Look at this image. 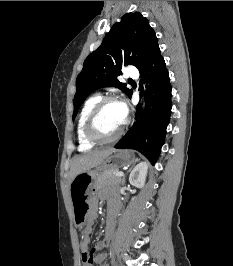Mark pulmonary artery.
<instances>
[{
	"label": "pulmonary artery",
	"instance_id": "1",
	"mask_svg": "<svg viewBox=\"0 0 233 266\" xmlns=\"http://www.w3.org/2000/svg\"><path fill=\"white\" fill-rule=\"evenodd\" d=\"M127 76L130 77V78H138L139 74L137 72V70L135 69H130L128 72H127Z\"/></svg>",
	"mask_w": 233,
	"mask_h": 266
}]
</instances>
